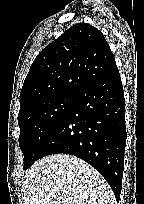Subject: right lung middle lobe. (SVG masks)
I'll list each match as a JSON object with an SVG mask.
<instances>
[{
    "instance_id": "1",
    "label": "right lung middle lobe",
    "mask_w": 144,
    "mask_h": 204,
    "mask_svg": "<svg viewBox=\"0 0 144 204\" xmlns=\"http://www.w3.org/2000/svg\"><path fill=\"white\" fill-rule=\"evenodd\" d=\"M74 94H59L18 114L19 146L24 154V170L40 158L46 141L66 116Z\"/></svg>"
}]
</instances>
